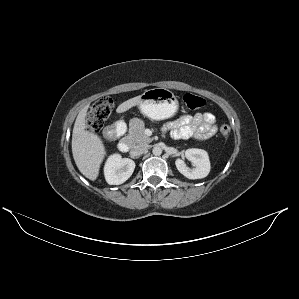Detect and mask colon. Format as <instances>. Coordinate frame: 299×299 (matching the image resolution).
I'll list each match as a JSON object with an SVG mask.
<instances>
[{"mask_svg":"<svg viewBox=\"0 0 299 299\" xmlns=\"http://www.w3.org/2000/svg\"><path fill=\"white\" fill-rule=\"evenodd\" d=\"M183 103L190 110H198L204 107L205 100L192 93L183 95ZM114 108L113 99L109 96H104L98 99L90 108L87 115V129L90 133H98L104 126ZM231 128L228 125H222L220 133L223 136H228Z\"/></svg>","mask_w":299,"mask_h":299,"instance_id":"5ec220e1","label":"colon"}]
</instances>
